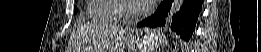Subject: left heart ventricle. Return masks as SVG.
I'll return each mask as SVG.
<instances>
[{"label": "left heart ventricle", "mask_w": 261, "mask_h": 52, "mask_svg": "<svg viewBox=\"0 0 261 52\" xmlns=\"http://www.w3.org/2000/svg\"><path fill=\"white\" fill-rule=\"evenodd\" d=\"M127 4H128V7H129L131 10H133V9L135 8V6H136V3H135L134 1L128 2Z\"/></svg>", "instance_id": "1"}]
</instances>
